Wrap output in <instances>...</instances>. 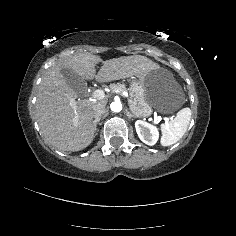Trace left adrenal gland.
Here are the masks:
<instances>
[{"label": "left adrenal gland", "instance_id": "left-adrenal-gland-1", "mask_svg": "<svg viewBox=\"0 0 236 236\" xmlns=\"http://www.w3.org/2000/svg\"><path fill=\"white\" fill-rule=\"evenodd\" d=\"M125 112H126V115H127L128 117H135L134 115H132V114L128 111V109H126Z\"/></svg>", "mask_w": 236, "mask_h": 236}]
</instances>
